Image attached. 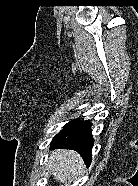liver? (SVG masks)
<instances>
[{
	"label": "liver",
	"instance_id": "6515ba94",
	"mask_svg": "<svg viewBox=\"0 0 138 186\" xmlns=\"http://www.w3.org/2000/svg\"><path fill=\"white\" fill-rule=\"evenodd\" d=\"M84 168L80 155L72 150H54L49 159L51 174L60 183L74 179Z\"/></svg>",
	"mask_w": 138,
	"mask_h": 186
}]
</instances>
